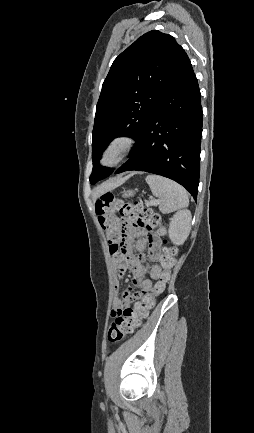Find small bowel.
I'll return each instance as SVG.
<instances>
[{
  "label": "small bowel",
  "mask_w": 254,
  "mask_h": 433,
  "mask_svg": "<svg viewBox=\"0 0 254 433\" xmlns=\"http://www.w3.org/2000/svg\"><path fill=\"white\" fill-rule=\"evenodd\" d=\"M129 228L128 225H126ZM145 235L144 238H139L135 243L136 250L140 253V257H136L133 254L131 244L135 238ZM148 247V255L151 260L156 261L160 257L161 243L160 240L151 233L140 229H130L127 239V250L124 256L114 257V262L117 267L118 274L123 276L128 270L133 273V286H138L141 291L133 293L130 287L124 292L122 299H118L114 302V308L112 313L128 302L129 298L133 301L140 300L143 295L150 293L153 287V280H158L161 275V267L154 264L150 267V278H144L148 271V268L142 263V259L145 258L144 252ZM115 291L119 289V282L116 279L114 283Z\"/></svg>",
  "instance_id": "c3829d8e"
}]
</instances>
